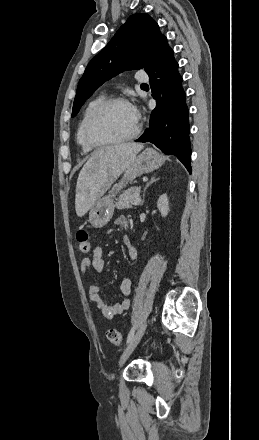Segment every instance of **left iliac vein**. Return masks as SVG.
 <instances>
[{
	"mask_svg": "<svg viewBox=\"0 0 259 440\" xmlns=\"http://www.w3.org/2000/svg\"><path fill=\"white\" fill-rule=\"evenodd\" d=\"M146 327H147V321L140 325L136 334L134 335L132 340L129 342L128 346L126 347V349L124 350V352L120 358V361H119L120 367L123 366V364L126 362V360L129 358V356L132 354V352L134 351V349L136 348V346L140 342V340L146 330Z\"/></svg>",
	"mask_w": 259,
	"mask_h": 440,
	"instance_id": "left-iliac-vein-1",
	"label": "left iliac vein"
}]
</instances>
